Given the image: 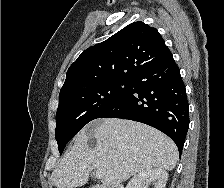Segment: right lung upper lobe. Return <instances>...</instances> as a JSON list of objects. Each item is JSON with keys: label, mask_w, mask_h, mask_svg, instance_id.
Wrapping results in <instances>:
<instances>
[{"label": "right lung upper lobe", "mask_w": 224, "mask_h": 188, "mask_svg": "<svg viewBox=\"0 0 224 188\" xmlns=\"http://www.w3.org/2000/svg\"><path fill=\"white\" fill-rule=\"evenodd\" d=\"M171 55L156 28L134 22L83 51L69 67L61 91L105 81L132 80Z\"/></svg>", "instance_id": "1"}]
</instances>
